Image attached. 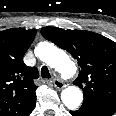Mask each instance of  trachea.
I'll return each mask as SVG.
<instances>
[{"mask_svg":"<svg viewBox=\"0 0 116 116\" xmlns=\"http://www.w3.org/2000/svg\"><path fill=\"white\" fill-rule=\"evenodd\" d=\"M41 76H42V78H46V79H50L51 78V75L49 73V70H48L47 66H43L41 68Z\"/></svg>","mask_w":116,"mask_h":116,"instance_id":"3493384b","label":"trachea"}]
</instances>
